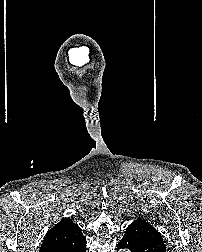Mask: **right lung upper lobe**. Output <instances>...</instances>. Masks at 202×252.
<instances>
[{
  "instance_id": "1",
  "label": "right lung upper lobe",
  "mask_w": 202,
  "mask_h": 252,
  "mask_svg": "<svg viewBox=\"0 0 202 252\" xmlns=\"http://www.w3.org/2000/svg\"><path fill=\"white\" fill-rule=\"evenodd\" d=\"M85 242L81 228L63 218L46 234L39 252H80Z\"/></svg>"
}]
</instances>
